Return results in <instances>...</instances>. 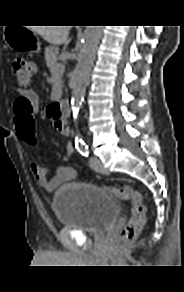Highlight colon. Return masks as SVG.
Segmentation results:
<instances>
[{
	"instance_id": "colon-1",
	"label": "colon",
	"mask_w": 184,
	"mask_h": 292,
	"mask_svg": "<svg viewBox=\"0 0 184 292\" xmlns=\"http://www.w3.org/2000/svg\"><path fill=\"white\" fill-rule=\"evenodd\" d=\"M10 70L18 87L22 90L14 104L16 124L24 141L34 147L36 145L35 117L40 103L38 96L26 88L35 74L36 64L33 61L16 57L10 63ZM106 189L118 199L131 202V219L121 230L120 241L122 244L133 243L146 224V207L143 204L142 195L129 185L107 187Z\"/></svg>"
}]
</instances>
